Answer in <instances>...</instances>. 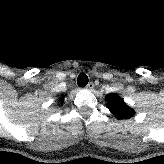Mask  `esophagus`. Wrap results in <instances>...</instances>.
<instances>
[{"label":"esophagus","mask_w":164,"mask_h":164,"mask_svg":"<svg viewBox=\"0 0 164 164\" xmlns=\"http://www.w3.org/2000/svg\"><path fill=\"white\" fill-rule=\"evenodd\" d=\"M93 88H94L93 82L88 83V85L86 86L87 90H92Z\"/></svg>","instance_id":"34e87169"}]
</instances>
